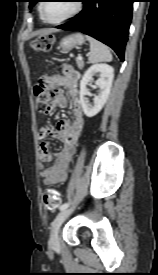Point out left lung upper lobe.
Here are the masks:
<instances>
[{"label": "left lung upper lobe", "mask_w": 158, "mask_h": 275, "mask_svg": "<svg viewBox=\"0 0 158 275\" xmlns=\"http://www.w3.org/2000/svg\"><path fill=\"white\" fill-rule=\"evenodd\" d=\"M38 2V0H29V7L32 8L36 3Z\"/></svg>", "instance_id": "5c2ea615"}]
</instances>
